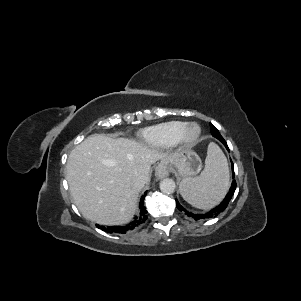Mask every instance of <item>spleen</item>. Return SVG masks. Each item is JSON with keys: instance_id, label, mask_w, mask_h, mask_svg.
Returning a JSON list of instances; mask_svg holds the SVG:
<instances>
[{"instance_id": "spleen-1", "label": "spleen", "mask_w": 301, "mask_h": 301, "mask_svg": "<svg viewBox=\"0 0 301 301\" xmlns=\"http://www.w3.org/2000/svg\"><path fill=\"white\" fill-rule=\"evenodd\" d=\"M229 184L227 159L218 145L210 143L203 171L197 177L184 178L179 190L184 200L192 206L209 209L223 199Z\"/></svg>"}]
</instances>
